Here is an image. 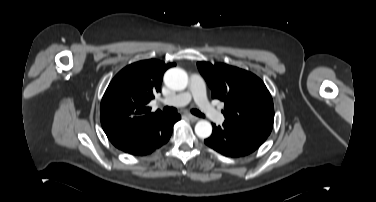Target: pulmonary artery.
Returning <instances> with one entry per match:
<instances>
[{
	"label": "pulmonary artery",
	"instance_id": "obj_1",
	"mask_svg": "<svg viewBox=\"0 0 376 202\" xmlns=\"http://www.w3.org/2000/svg\"><path fill=\"white\" fill-rule=\"evenodd\" d=\"M191 99H194L200 111H202L210 120L216 123H222L224 121L223 114L207 99L204 80L198 74L191 75L188 91L179 93L170 99H166L163 103L173 106H184L188 104Z\"/></svg>",
	"mask_w": 376,
	"mask_h": 202
}]
</instances>
